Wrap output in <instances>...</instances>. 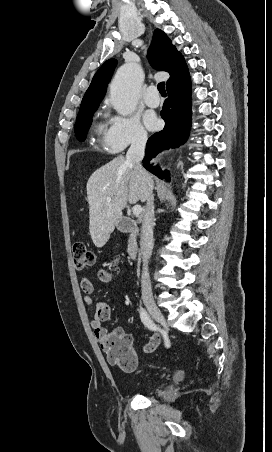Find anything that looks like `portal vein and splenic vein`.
Returning a JSON list of instances; mask_svg holds the SVG:
<instances>
[{"mask_svg": "<svg viewBox=\"0 0 272 452\" xmlns=\"http://www.w3.org/2000/svg\"><path fill=\"white\" fill-rule=\"evenodd\" d=\"M111 199H112L111 197H107L106 200L111 201ZM132 211H133L134 215H140L142 213L143 209L140 205H135V206H133Z\"/></svg>", "mask_w": 272, "mask_h": 452, "instance_id": "1", "label": "portal vein and splenic vein"}]
</instances>
